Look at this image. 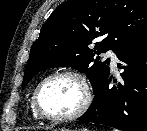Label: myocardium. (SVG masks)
<instances>
[{"instance_id":"obj_1","label":"myocardium","mask_w":147,"mask_h":131,"mask_svg":"<svg viewBox=\"0 0 147 131\" xmlns=\"http://www.w3.org/2000/svg\"><path fill=\"white\" fill-rule=\"evenodd\" d=\"M63 76L75 78L76 80L80 82L83 88V91H84V99H83L81 106L71 114L50 115L46 113L41 107L40 99H39L40 92L43 86L48 81H50L51 79H54L57 77H63ZM92 98H93L92 90H91V87H90V84L87 78L81 72L77 70L65 69V70L56 71V72H53L47 75L37 84L32 94V104H33L34 110L36 111V113L38 114L40 118L47 120V121H51V122H67V121L75 120L81 117L83 114H85L92 103Z\"/></svg>"}]
</instances>
